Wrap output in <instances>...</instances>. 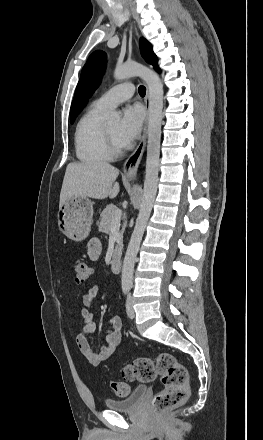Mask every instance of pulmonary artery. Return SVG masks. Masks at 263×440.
<instances>
[{"instance_id":"pulmonary-artery-1","label":"pulmonary artery","mask_w":263,"mask_h":440,"mask_svg":"<svg viewBox=\"0 0 263 440\" xmlns=\"http://www.w3.org/2000/svg\"><path fill=\"white\" fill-rule=\"evenodd\" d=\"M135 92V87L132 83H122L116 85L100 96L96 103L103 108H114L120 103L129 100Z\"/></svg>"}]
</instances>
